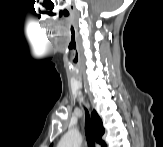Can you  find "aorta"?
<instances>
[{
    "instance_id": "762f6f07",
    "label": "aorta",
    "mask_w": 163,
    "mask_h": 147,
    "mask_svg": "<svg viewBox=\"0 0 163 147\" xmlns=\"http://www.w3.org/2000/svg\"><path fill=\"white\" fill-rule=\"evenodd\" d=\"M82 143V137L80 133L75 130H69L60 140L59 147H80Z\"/></svg>"
}]
</instances>
